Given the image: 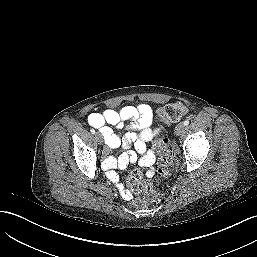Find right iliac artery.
<instances>
[{
    "label": "right iliac artery",
    "instance_id": "obj_1",
    "mask_svg": "<svg viewBox=\"0 0 257 257\" xmlns=\"http://www.w3.org/2000/svg\"><path fill=\"white\" fill-rule=\"evenodd\" d=\"M92 134H95V130L94 129H91L90 130Z\"/></svg>",
    "mask_w": 257,
    "mask_h": 257
}]
</instances>
